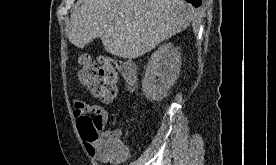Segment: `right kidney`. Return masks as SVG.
Instances as JSON below:
<instances>
[{
	"label": "right kidney",
	"mask_w": 276,
	"mask_h": 165,
	"mask_svg": "<svg viewBox=\"0 0 276 165\" xmlns=\"http://www.w3.org/2000/svg\"><path fill=\"white\" fill-rule=\"evenodd\" d=\"M180 53L172 43H165L152 55L146 66L142 91L150 101H161L178 78Z\"/></svg>",
	"instance_id": "obj_1"
}]
</instances>
